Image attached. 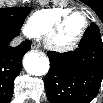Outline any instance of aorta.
<instances>
[{"label":"aorta","instance_id":"aorta-1","mask_svg":"<svg viewBox=\"0 0 103 103\" xmlns=\"http://www.w3.org/2000/svg\"><path fill=\"white\" fill-rule=\"evenodd\" d=\"M23 66L27 73L35 76L45 75L50 67L49 59L38 53L26 54L23 58Z\"/></svg>","mask_w":103,"mask_h":103}]
</instances>
